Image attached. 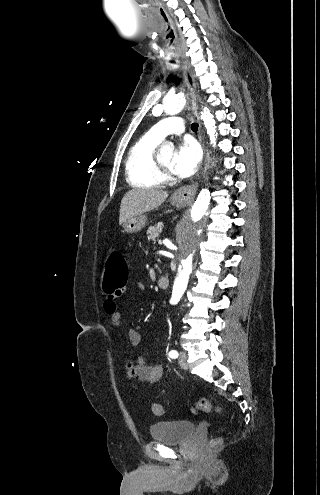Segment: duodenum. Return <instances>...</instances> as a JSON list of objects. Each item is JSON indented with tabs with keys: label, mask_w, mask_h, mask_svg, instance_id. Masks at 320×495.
Segmentation results:
<instances>
[{
	"label": "duodenum",
	"mask_w": 320,
	"mask_h": 495,
	"mask_svg": "<svg viewBox=\"0 0 320 495\" xmlns=\"http://www.w3.org/2000/svg\"><path fill=\"white\" fill-rule=\"evenodd\" d=\"M158 286L161 288V289H166L168 288L169 286V278L167 276H161L159 279H158Z\"/></svg>",
	"instance_id": "obj_1"
}]
</instances>
